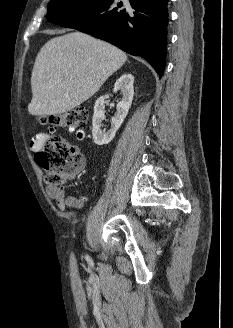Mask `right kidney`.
Returning a JSON list of instances; mask_svg holds the SVG:
<instances>
[{"instance_id":"1","label":"right kidney","mask_w":233,"mask_h":328,"mask_svg":"<svg viewBox=\"0 0 233 328\" xmlns=\"http://www.w3.org/2000/svg\"><path fill=\"white\" fill-rule=\"evenodd\" d=\"M134 77L130 73L123 74L114 85V92L121 90L123 95L122 100L117 104V112L111 120V128L105 132L101 130L102 121L105 119L104 109H105V99L109 98V95L101 96L97 99L94 105V115L92 120V136L95 144L105 145L110 143L117 130L123 123L129 108L131 107L133 96H134Z\"/></svg>"}]
</instances>
